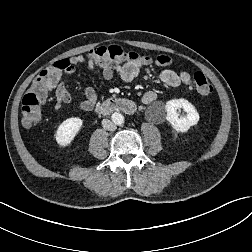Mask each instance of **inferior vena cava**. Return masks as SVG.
Instances as JSON below:
<instances>
[{
    "label": "inferior vena cava",
    "instance_id": "602c4592",
    "mask_svg": "<svg viewBox=\"0 0 252 252\" xmlns=\"http://www.w3.org/2000/svg\"><path fill=\"white\" fill-rule=\"evenodd\" d=\"M102 126L104 129L109 130V131H115L117 128L115 123H113L111 120H108V119L102 120Z\"/></svg>",
    "mask_w": 252,
    "mask_h": 252
}]
</instances>
